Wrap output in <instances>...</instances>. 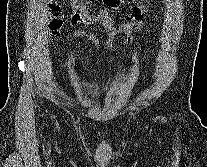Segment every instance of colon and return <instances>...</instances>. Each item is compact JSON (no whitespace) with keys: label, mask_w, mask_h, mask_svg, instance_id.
Segmentation results:
<instances>
[{"label":"colon","mask_w":207,"mask_h":167,"mask_svg":"<svg viewBox=\"0 0 207 167\" xmlns=\"http://www.w3.org/2000/svg\"><path fill=\"white\" fill-rule=\"evenodd\" d=\"M64 24V14L61 8L56 5L52 4L50 8V22L49 28L53 34V36H57L58 32L62 28Z\"/></svg>","instance_id":"5ec220e1"}]
</instances>
